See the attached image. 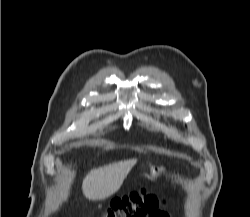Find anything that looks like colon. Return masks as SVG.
Segmentation results:
<instances>
[{
	"label": "colon",
	"mask_w": 250,
	"mask_h": 217,
	"mask_svg": "<svg viewBox=\"0 0 250 217\" xmlns=\"http://www.w3.org/2000/svg\"><path fill=\"white\" fill-rule=\"evenodd\" d=\"M162 200L146 190L115 198L103 217H167L160 210Z\"/></svg>",
	"instance_id": "colon-1"
}]
</instances>
